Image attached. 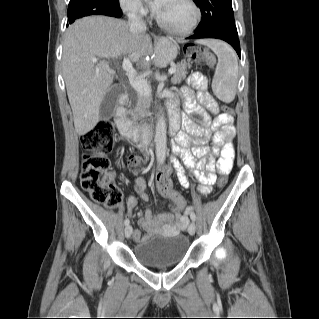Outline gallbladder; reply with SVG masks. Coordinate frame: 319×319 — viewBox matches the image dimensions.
I'll return each instance as SVG.
<instances>
[{"instance_id": "1", "label": "gallbladder", "mask_w": 319, "mask_h": 319, "mask_svg": "<svg viewBox=\"0 0 319 319\" xmlns=\"http://www.w3.org/2000/svg\"><path fill=\"white\" fill-rule=\"evenodd\" d=\"M123 91L122 85H115L107 92L99 109L101 120L107 121L113 116L117 100Z\"/></svg>"}]
</instances>
